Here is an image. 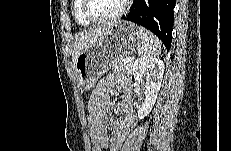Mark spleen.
Segmentation results:
<instances>
[{"mask_svg": "<svg viewBox=\"0 0 231 151\" xmlns=\"http://www.w3.org/2000/svg\"><path fill=\"white\" fill-rule=\"evenodd\" d=\"M142 42L138 50L140 56L153 57L161 53V44L159 39L150 31L143 27H138Z\"/></svg>", "mask_w": 231, "mask_h": 151, "instance_id": "1", "label": "spleen"}]
</instances>
